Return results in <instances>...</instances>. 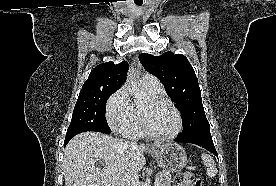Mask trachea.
<instances>
[{"mask_svg":"<svg viewBox=\"0 0 276 186\" xmlns=\"http://www.w3.org/2000/svg\"><path fill=\"white\" fill-rule=\"evenodd\" d=\"M136 5H142V2H135Z\"/></svg>","mask_w":276,"mask_h":186,"instance_id":"3493384b","label":"trachea"}]
</instances>
